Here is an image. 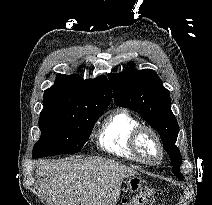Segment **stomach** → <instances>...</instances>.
Returning a JSON list of instances; mask_svg holds the SVG:
<instances>
[{
  "instance_id": "obj_1",
  "label": "stomach",
  "mask_w": 212,
  "mask_h": 205,
  "mask_svg": "<svg viewBox=\"0 0 212 205\" xmlns=\"http://www.w3.org/2000/svg\"><path fill=\"white\" fill-rule=\"evenodd\" d=\"M143 179L139 176H131L125 181L126 192L135 193L142 187Z\"/></svg>"
}]
</instances>
